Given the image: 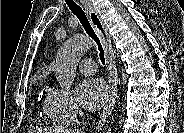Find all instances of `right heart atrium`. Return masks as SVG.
<instances>
[{"mask_svg": "<svg viewBox=\"0 0 184 133\" xmlns=\"http://www.w3.org/2000/svg\"><path fill=\"white\" fill-rule=\"evenodd\" d=\"M48 100L60 122H69L76 118L79 109L69 91L52 88L48 92Z\"/></svg>", "mask_w": 184, "mask_h": 133, "instance_id": "d8ad5b80", "label": "right heart atrium"}]
</instances>
